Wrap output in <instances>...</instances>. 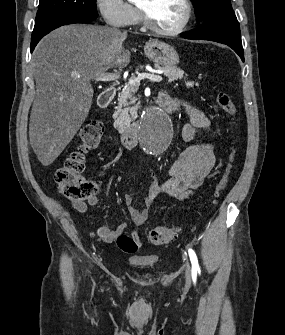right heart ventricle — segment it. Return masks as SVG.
Listing matches in <instances>:
<instances>
[{
    "mask_svg": "<svg viewBox=\"0 0 285 335\" xmlns=\"http://www.w3.org/2000/svg\"><path fill=\"white\" fill-rule=\"evenodd\" d=\"M139 20V17L137 16V19H136V21L135 22H137Z\"/></svg>",
    "mask_w": 285,
    "mask_h": 335,
    "instance_id": "right-heart-ventricle-1",
    "label": "right heart ventricle"
}]
</instances>
